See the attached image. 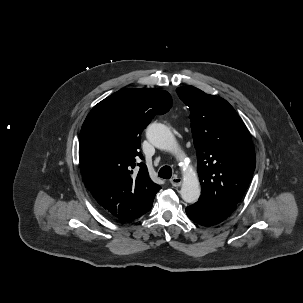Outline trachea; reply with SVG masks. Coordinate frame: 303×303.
Here are the masks:
<instances>
[{"label":"trachea","mask_w":303,"mask_h":303,"mask_svg":"<svg viewBox=\"0 0 303 303\" xmlns=\"http://www.w3.org/2000/svg\"><path fill=\"white\" fill-rule=\"evenodd\" d=\"M158 176L164 179H170L172 176V169L169 166H163L158 173Z\"/></svg>","instance_id":"trachea-1"}]
</instances>
